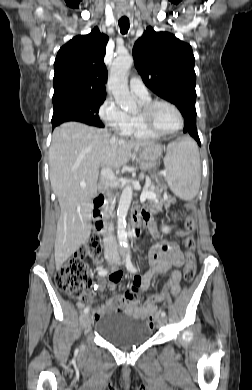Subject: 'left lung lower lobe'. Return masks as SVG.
I'll return each instance as SVG.
<instances>
[{"mask_svg": "<svg viewBox=\"0 0 252 390\" xmlns=\"http://www.w3.org/2000/svg\"><path fill=\"white\" fill-rule=\"evenodd\" d=\"M184 121H185V126L183 129V132L189 133L192 137L195 138V140L200 145V140H199V136H198L197 128H196V115L186 116L184 118Z\"/></svg>", "mask_w": 252, "mask_h": 390, "instance_id": "0a47b994", "label": "left lung lower lobe"}]
</instances>
